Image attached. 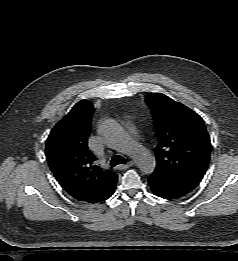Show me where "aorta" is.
<instances>
[{
  "label": "aorta",
  "instance_id": "1",
  "mask_svg": "<svg viewBox=\"0 0 238 261\" xmlns=\"http://www.w3.org/2000/svg\"><path fill=\"white\" fill-rule=\"evenodd\" d=\"M104 137L121 152L129 155L138 168L145 174H151L156 165L155 157L145 147L132 142L124 130L113 120L104 121Z\"/></svg>",
  "mask_w": 238,
  "mask_h": 261
}]
</instances>
